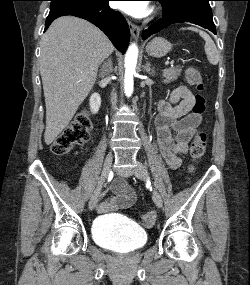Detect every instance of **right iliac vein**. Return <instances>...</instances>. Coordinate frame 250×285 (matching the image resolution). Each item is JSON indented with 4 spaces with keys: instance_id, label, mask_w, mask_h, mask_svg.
Masks as SVG:
<instances>
[{
    "instance_id": "63e3f726",
    "label": "right iliac vein",
    "mask_w": 250,
    "mask_h": 285,
    "mask_svg": "<svg viewBox=\"0 0 250 285\" xmlns=\"http://www.w3.org/2000/svg\"><path fill=\"white\" fill-rule=\"evenodd\" d=\"M112 161H113V155L110 152L106 156L100 179H99L98 184H97L96 188L94 189L93 194H92V196L90 198V201H89V208H90V210H93L96 207L100 191H101L102 186H103V184H104V182H105V180H106V178H107V176H108V174L110 172Z\"/></svg>"
}]
</instances>
